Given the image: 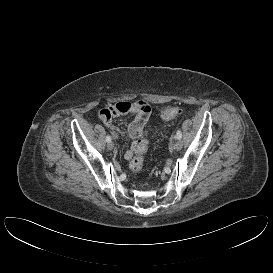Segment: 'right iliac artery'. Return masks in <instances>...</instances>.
Returning <instances> with one entry per match:
<instances>
[{
  "instance_id": "1",
  "label": "right iliac artery",
  "mask_w": 273,
  "mask_h": 273,
  "mask_svg": "<svg viewBox=\"0 0 273 273\" xmlns=\"http://www.w3.org/2000/svg\"><path fill=\"white\" fill-rule=\"evenodd\" d=\"M106 141L111 142V137L109 135L106 137Z\"/></svg>"
}]
</instances>
